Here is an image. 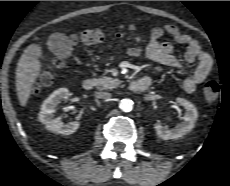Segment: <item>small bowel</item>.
<instances>
[{"label": "small bowel", "mask_w": 230, "mask_h": 186, "mask_svg": "<svg viewBox=\"0 0 230 186\" xmlns=\"http://www.w3.org/2000/svg\"><path fill=\"white\" fill-rule=\"evenodd\" d=\"M165 35L186 46L183 60L172 54L170 43L161 40ZM126 52L131 56L144 54L154 62L180 70L196 64L193 73L186 76L182 83V88L187 93H192L207 78L213 67L212 58L200 47L197 40L173 24L152 28L147 40L135 37L134 44L127 48Z\"/></svg>", "instance_id": "obj_1"}]
</instances>
